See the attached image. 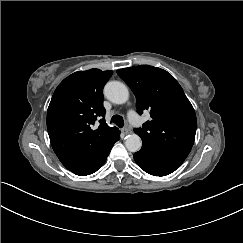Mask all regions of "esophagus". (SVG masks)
Segmentation results:
<instances>
[{
    "label": "esophagus",
    "instance_id": "esophagus-1",
    "mask_svg": "<svg viewBox=\"0 0 243 243\" xmlns=\"http://www.w3.org/2000/svg\"><path fill=\"white\" fill-rule=\"evenodd\" d=\"M131 133V130L128 129V128H123L121 130V134L124 136V135H127V134H130Z\"/></svg>",
    "mask_w": 243,
    "mask_h": 243
}]
</instances>
